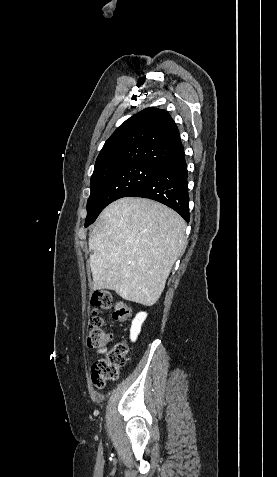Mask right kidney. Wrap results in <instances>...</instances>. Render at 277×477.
<instances>
[{"label":"right kidney","mask_w":277,"mask_h":477,"mask_svg":"<svg viewBox=\"0 0 277 477\" xmlns=\"http://www.w3.org/2000/svg\"><path fill=\"white\" fill-rule=\"evenodd\" d=\"M146 317H147V314L145 312H140L136 315V317L132 321V326L130 329V338L132 341H136L141 331V325L145 321Z\"/></svg>","instance_id":"1"}]
</instances>
